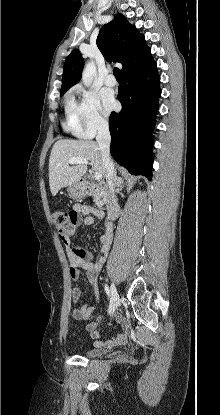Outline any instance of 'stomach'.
<instances>
[{
	"label": "stomach",
	"instance_id": "1",
	"mask_svg": "<svg viewBox=\"0 0 220 415\" xmlns=\"http://www.w3.org/2000/svg\"><path fill=\"white\" fill-rule=\"evenodd\" d=\"M67 192L71 198H81L86 195L87 187L84 183L77 182L68 186Z\"/></svg>",
	"mask_w": 220,
	"mask_h": 415
}]
</instances>
